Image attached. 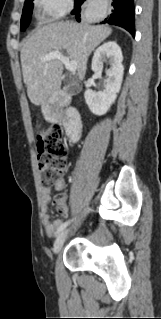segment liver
<instances>
[{
  "label": "liver",
  "mask_w": 161,
  "mask_h": 319,
  "mask_svg": "<svg viewBox=\"0 0 161 319\" xmlns=\"http://www.w3.org/2000/svg\"><path fill=\"white\" fill-rule=\"evenodd\" d=\"M105 25L89 26L72 22H55L37 29L21 49L23 80L34 105L47 102L61 86L63 64L60 60L41 61L51 51H65L77 62V74L83 80L92 51L110 34Z\"/></svg>",
  "instance_id": "6515ba94"
}]
</instances>
